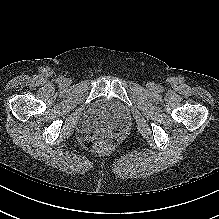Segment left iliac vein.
Instances as JSON below:
<instances>
[{
  "label": "left iliac vein",
  "mask_w": 219,
  "mask_h": 219,
  "mask_svg": "<svg viewBox=\"0 0 219 219\" xmlns=\"http://www.w3.org/2000/svg\"><path fill=\"white\" fill-rule=\"evenodd\" d=\"M150 87H152V88H153V87H154V84H151V85H150Z\"/></svg>",
  "instance_id": "left-iliac-vein-1"
}]
</instances>
